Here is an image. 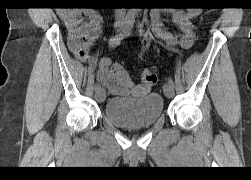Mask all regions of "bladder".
Segmentation results:
<instances>
[{
  "label": "bladder",
  "instance_id": "31cf9c89",
  "mask_svg": "<svg viewBox=\"0 0 251 180\" xmlns=\"http://www.w3.org/2000/svg\"><path fill=\"white\" fill-rule=\"evenodd\" d=\"M164 100L157 93L138 98L112 97L106 102L105 117L114 125L123 128L148 127L163 114Z\"/></svg>",
  "mask_w": 251,
  "mask_h": 180
}]
</instances>
